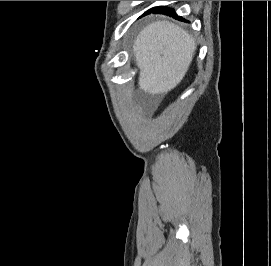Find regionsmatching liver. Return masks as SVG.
I'll list each match as a JSON object with an SVG mask.
<instances>
[{"label":"liver","instance_id":"liver-1","mask_svg":"<svg viewBox=\"0 0 271 266\" xmlns=\"http://www.w3.org/2000/svg\"><path fill=\"white\" fill-rule=\"evenodd\" d=\"M196 51L193 37L168 21L147 25L135 39L138 85L151 95L165 94L183 79Z\"/></svg>","mask_w":271,"mask_h":266}]
</instances>
